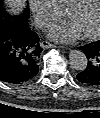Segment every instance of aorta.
<instances>
[{"instance_id": "obj_1", "label": "aorta", "mask_w": 100, "mask_h": 118, "mask_svg": "<svg viewBox=\"0 0 100 118\" xmlns=\"http://www.w3.org/2000/svg\"><path fill=\"white\" fill-rule=\"evenodd\" d=\"M71 67L78 71H83L87 67L86 55L80 50H72L69 54Z\"/></svg>"}]
</instances>
